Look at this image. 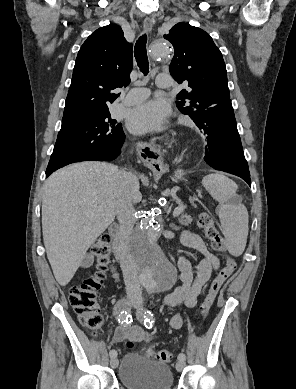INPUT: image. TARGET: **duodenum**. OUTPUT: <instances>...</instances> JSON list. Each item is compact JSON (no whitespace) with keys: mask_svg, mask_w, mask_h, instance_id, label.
Wrapping results in <instances>:
<instances>
[{"mask_svg":"<svg viewBox=\"0 0 296 389\" xmlns=\"http://www.w3.org/2000/svg\"><path fill=\"white\" fill-rule=\"evenodd\" d=\"M109 234L113 242L114 255L121 264H124L125 262H127L129 255L127 246L122 237L120 236L119 229L116 224H112L109 227Z\"/></svg>","mask_w":296,"mask_h":389,"instance_id":"1","label":"duodenum"}]
</instances>
